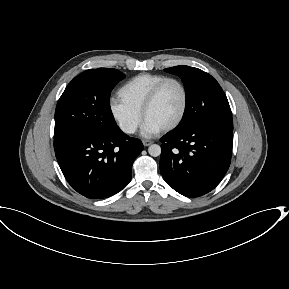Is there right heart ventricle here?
<instances>
[{
  "label": "right heart ventricle",
  "mask_w": 289,
  "mask_h": 289,
  "mask_svg": "<svg viewBox=\"0 0 289 289\" xmlns=\"http://www.w3.org/2000/svg\"><path fill=\"white\" fill-rule=\"evenodd\" d=\"M166 76L141 73L129 79L117 91L119 100L129 108L141 113L143 103L151 89Z\"/></svg>",
  "instance_id": "1"
}]
</instances>
